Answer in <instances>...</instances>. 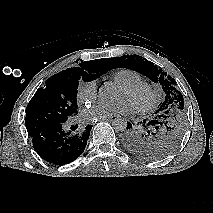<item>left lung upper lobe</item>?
Wrapping results in <instances>:
<instances>
[{
  "label": "left lung upper lobe",
  "instance_id": "obj_1",
  "mask_svg": "<svg viewBox=\"0 0 213 213\" xmlns=\"http://www.w3.org/2000/svg\"><path fill=\"white\" fill-rule=\"evenodd\" d=\"M110 68H128L153 82H159L165 100L159 104L155 116L143 121L137 131L135 143L129 150L145 159H161L172 153L180 143L186 127V112L182 93L175 87V79L167 76L152 62L138 55H124L109 59Z\"/></svg>",
  "mask_w": 213,
  "mask_h": 213
}]
</instances>
